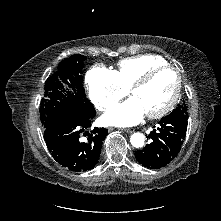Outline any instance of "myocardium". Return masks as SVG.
<instances>
[{"label":"myocardium","mask_w":221,"mask_h":221,"mask_svg":"<svg viewBox=\"0 0 221 221\" xmlns=\"http://www.w3.org/2000/svg\"><path fill=\"white\" fill-rule=\"evenodd\" d=\"M163 70H172L175 72L176 77H177V84H176V88L175 91L171 97V99L168 101V103L161 108L160 110L153 112V113H147L146 116L150 119H159L164 117L165 115H167L176 105L179 97H180V93H181V89H182V75L180 73V71L174 67L173 65L170 64H164V65H158V66H154L150 69H148L141 77H139L133 84L132 86L129 88V92L130 94H133L134 91H136L137 89L145 86L146 84H148L150 82V80L159 72L163 71Z\"/></svg>","instance_id":"f54148a6"}]
</instances>
